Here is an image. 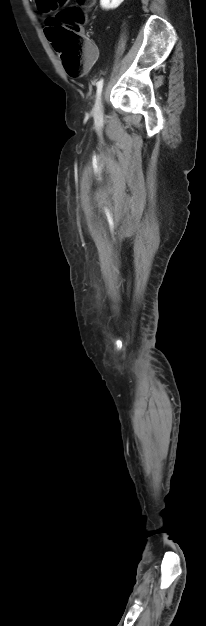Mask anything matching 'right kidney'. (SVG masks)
I'll use <instances>...</instances> for the list:
<instances>
[{
	"label": "right kidney",
	"mask_w": 206,
	"mask_h": 626,
	"mask_svg": "<svg viewBox=\"0 0 206 626\" xmlns=\"http://www.w3.org/2000/svg\"><path fill=\"white\" fill-rule=\"evenodd\" d=\"M124 0H100V5L104 10L117 8Z\"/></svg>",
	"instance_id": "1"
}]
</instances>
